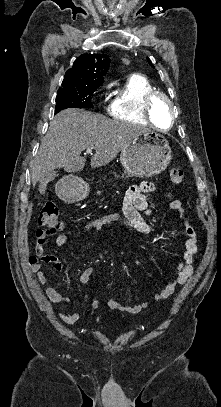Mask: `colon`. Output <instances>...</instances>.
Masks as SVG:
<instances>
[{
  "label": "colon",
  "mask_w": 221,
  "mask_h": 407,
  "mask_svg": "<svg viewBox=\"0 0 221 407\" xmlns=\"http://www.w3.org/2000/svg\"><path fill=\"white\" fill-rule=\"evenodd\" d=\"M169 177L173 184H180L184 179V172L179 167H172L169 170ZM39 224L43 226L37 234L40 238L49 239L57 233L61 227L59 207L54 202H46L38 217Z\"/></svg>",
  "instance_id": "colon-1"
}]
</instances>
